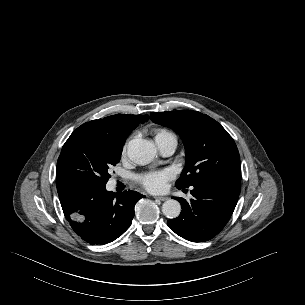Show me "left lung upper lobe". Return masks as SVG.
I'll use <instances>...</instances> for the list:
<instances>
[{
  "instance_id": "1",
  "label": "left lung upper lobe",
  "mask_w": 305,
  "mask_h": 305,
  "mask_svg": "<svg viewBox=\"0 0 305 305\" xmlns=\"http://www.w3.org/2000/svg\"><path fill=\"white\" fill-rule=\"evenodd\" d=\"M154 123L173 129L183 140L186 163L177 188H188L217 176L240 175L237 146L214 119L197 111L178 110L150 114Z\"/></svg>"
}]
</instances>
